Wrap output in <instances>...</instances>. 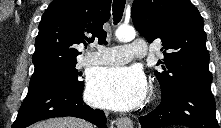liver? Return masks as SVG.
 <instances>
[{"mask_svg": "<svg viewBox=\"0 0 221 128\" xmlns=\"http://www.w3.org/2000/svg\"><path fill=\"white\" fill-rule=\"evenodd\" d=\"M31 128H92V125L78 118L63 117L36 123Z\"/></svg>", "mask_w": 221, "mask_h": 128, "instance_id": "1", "label": "liver"}]
</instances>
